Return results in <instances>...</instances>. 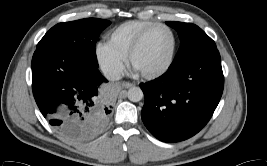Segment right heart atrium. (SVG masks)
Segmentation results:
<instances>
[{
  "mask_svg": "<svg viewBox=\"0 0 267 166\" xmlns=\"http://www.w3.org/2000/svg\"><path fill=\"white\" fill-rule=\"evenodd\" d=\"M98 64L109 77L118 76L124 67V57L117 53L109 43L99 42L95 47Z\"/></svg>",
  "mask_w": 267,
  "mask_h": 166,
  "instance_id": "d8ad5b80",
  "label": "right heart atrium"
}]
</instances>
